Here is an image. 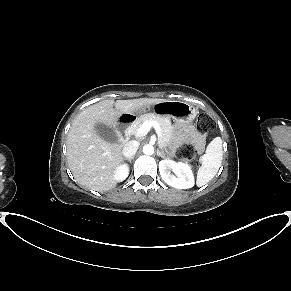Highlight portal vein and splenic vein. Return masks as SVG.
I'll list each match as a JSON object with an SVG mask.
<instances>
[{"label":"portal vein and splenic vein","mask_w":291,"mask_h":291,"mask_svg":"<svg viewBox=\"0 0 291 291\" xmlns=\"http://www.w3.org/2000/svg\"><path fill=\"white\" fill-rule=\"evenodd\" d=\"M154 128L157 134L160 133V126L154 121H145L142 127L138 130L139 135H146L151 128Z\"/></svg>","instance_id":"obj_1"}]
</instances>
